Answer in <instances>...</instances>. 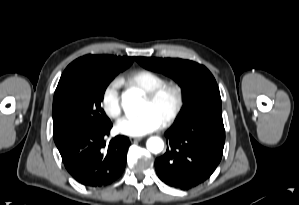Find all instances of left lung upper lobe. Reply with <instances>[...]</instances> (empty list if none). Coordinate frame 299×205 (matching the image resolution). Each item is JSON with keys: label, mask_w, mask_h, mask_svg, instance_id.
Masks as SVG:
<instances>
[{"label": "left lung upper lobe", "mask_w": 299, "mask_h": 205, "mask_svg": "<svg viewBox=\"0 0 299 205\" xmlns=\"http://www.w3.org/2000/svg\"><path fill=\"white\" fill-rule=\"evenodd\" d=\"M136 60L148 70L171 77L182 87L185 102L175 122L199 120L222 113L218 85L205 66L178 58L137 57Z\"/></svg>", "instance_id": "obj_1"}]
</instances>
